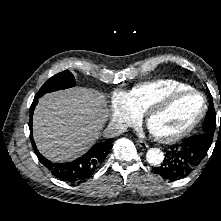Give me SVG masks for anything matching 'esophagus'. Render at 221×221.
Listing matches in <instances>:
<instances>
[{"label": "esophagus", "mask_w": 221, "mask_h": 221, "mask_svg": "<svg viewBox=\"0 0 221 221\" xmlns=\"http://www.w3.org/2000/svg\"><path fill=\"white\" fill-rule=\"evenodd\" d=\"M136 142L142 148H149V145L145 141H143V140H139L138 139Z\"/></svg>", "instance_id": "34e87169"}]
</instances>
